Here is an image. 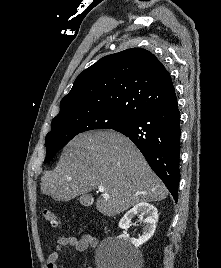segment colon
Here are the masks:
<instances>
[{
    "label": "colon",
    "instance_id": "obj_1",
    "mask_svg": "<svg viewBox=\"0 0 221 268\" xmlns=\"http://www.w3.org/2000/svg\"><path fill=\"white\" fill-rule=\"evenodd\" d=\"M43 216L53 227H57L60 225V220L53 211L45 209L43 211Z\"/></svg>",
    "mask_w": 221,
    "mask_h": 268
}]
</instances>
